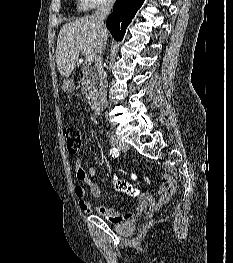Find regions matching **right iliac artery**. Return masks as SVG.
<instances>
[{
	"instance_id": "obj_1",
	"label": "right iliac artery",
	"mask_w": 233,
	"mask_h": 263,
	"mask_svg": "<svg viewBox=\"0 0 233 263\" xmlns=\"http://www.w3.org/2000/svg\"><path fill=\"white\" fill-rule=\"evenodd\" d=\"M119 150L117 149V148H112L111 150H110V155L112 156V157H118L119 156Z\"/></svg>"
}]
</instances>
